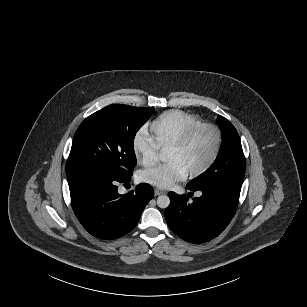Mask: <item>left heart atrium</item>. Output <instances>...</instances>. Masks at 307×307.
Here are the masks:
<instances>
[{
  "instance_id": "left-heart-atrium-1",
  "label": "left heart atrium",
  "mask_w": 307,
  "mask_h": 307,
  "mask_svg": "<svg viewBox=\"0 0 307 307\" xmlns=\"http://www.w3.org/2000/svg\"><path fill=\"white\" fill-rule=\"evenodd\" d=\"M188 174L174 162H166L141 172V180L158 188H168L174 182L182 181Z\"/></svg>"
}]
</instances>
